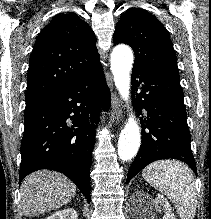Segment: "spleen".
Instances as JSON below:
<instances>
[{
    "label": "spleen",
    "instance_id": "spleen-1",
    "mask_svg": "<svg viewBox=\"0 0 211 219\" xmlns=\"http://www.w3.org/2000/svg\"><path fill=\"white\" fill-rule=\"evenodd\" d=\"M142 176L171 200L181 219L194 218L197 193L188 166L176 160H160L147 166Z\"/></svg>",
    "mask_w": 211,
    "mask_h": 219
}]
</instances>
